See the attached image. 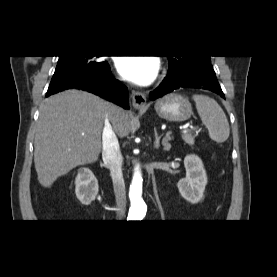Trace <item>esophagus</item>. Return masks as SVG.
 <instances>
[{"mask_svg": "<svg viewBox=\"0 0 277 277\" xmlns=\"http://www.w3.org/2000/svg\"><path fill=\"white\" fill-rule=\"evenodd\" d=\"M132 104L135 109L143 110L146 108V96L139 91H132Z\"/></svg>", "mask_w": 277, "mask_h": 277, "instance_id": "obj_1", "label": "esophagus"}]
</instances>
